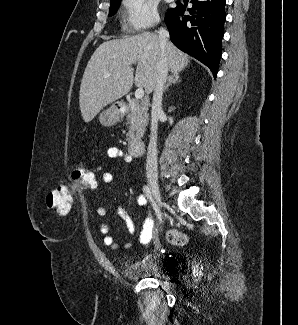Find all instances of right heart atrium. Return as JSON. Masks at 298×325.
Masks as SVG:
<instances>
[{
	"label": "right heart atrium",
	"instance_id": "1",
	"mask_svg": "<svg viewBox=\"0 0 298 325\" xmlns=\"http://www.w3.org/2000/svg\"><path fill=\"white\" fill-rule=\"evenodd\" d=\"M124 9L128 32L150 28L157 21V4L154 0H127Z\"/></svg>",
	"mask_w": 298,
	"mask_h": 325
}]
</instances>
